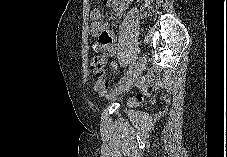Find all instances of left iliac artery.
<instances>
[{"instance_id": "44dca946", "label": "left iliac artery", "mask_w": 227, "mask_h": 157, "mask_svg": "<svg viewBox=\"0 0 227 157\" xmlns=\"http://www.w3.org/2000/svg\"><path fill=\"white\" fill-rule=\"evenodd\" d=\"M136 52L139 53L140 49L137 48ZM135 61H136V56H134L133 61L131 62L132 64L130 65L129 69L126 71V73L124 74V76L120 79L119 83H122L124 81L127 80L128 77H130V75L132 74L134 67H135Z\"/></svg>"}]
</instances>
